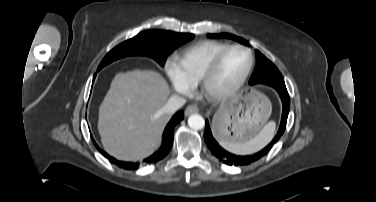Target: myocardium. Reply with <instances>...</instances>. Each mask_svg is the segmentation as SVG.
Returning a JSON list of instances; mask_svg holds the SVG:
<instances>
[{"label": "myocardium", "mask_w": 376, "mask_h": 202, "mask_svg": "<svg viewBox=\"0 0 376 202\" xmlns=\"http://www.w3.org/2000/svg\"><path fill=\"white\" fill-rule=\"evenodd\" d=\"M235 49H241L247 52L249 56V63L242 74V76L230 87L224 89V90H215L212 88V80L217 73L218 69L220 68L224 58L227 56L229 52ZM254 65V55L252 51L243 45L240 44H234L230 45L227 48H225L222 52H220L214 60L208 65V67L205 69L201 79H200V88L203 95L212 102H222L225 101L232 96H234L245 84L247 81L251 70Z\"/></svg>", "instance_id": "myocardium-1"}]
</instances>
